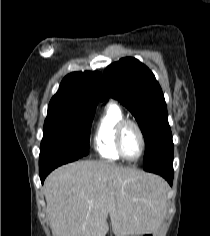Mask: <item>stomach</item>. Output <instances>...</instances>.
<instances>
[{
  "label": "stomach",
  "mask_w": 210,
  "mask_h": 236,
  "mask_svg": "<svg viewBox=\"0 0 210 236\" xmlns=\"http://www.w3.org/2000/svg\"><path fill=\"white\" fill-rule=\"evenodd\" d=\"M133 236H156V231H151V232H147V233H143V234H137V235H133Z\"/></svg>",
  "instance_id": "stomach-1"
}]
</instances>
